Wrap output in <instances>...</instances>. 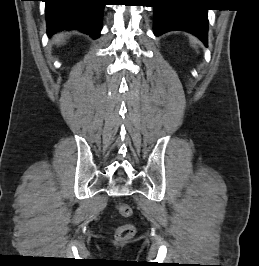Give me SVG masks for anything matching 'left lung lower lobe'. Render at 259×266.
<instances>
[{"instance_id": "left-lung-lower-lobe-1", "label": "left lung lower lobe", "mask_w": 259, "mask_h": 266, "mask_svg": "<svg viewBox=\"0 0 259 266\" xmlns=\"http://www.w3.org/2000/svg\"><path fill=\"white\" fill-rule=\"evenodd\" d=\"M154 34L173 30L194 34L207 46V9L192 7L189 0H153Z\"/></svg>"}]
</instances>
